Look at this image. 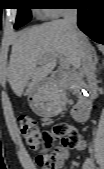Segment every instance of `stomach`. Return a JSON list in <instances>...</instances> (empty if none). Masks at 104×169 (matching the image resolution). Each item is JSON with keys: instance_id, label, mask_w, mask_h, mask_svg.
Wrapping results in <instances>:
<instances>
[{"instance_id": "0dacf381", "label": "stomach", "mask_w": 104, "mask_h": 169, "mask_svg": "<svg viewBox=\"0 0 104 169\" xmlns=\"http://www.w3.org/2000/svg\"><path fill=\"white\" fill-rule=\"evenodd\" d=\"M28 101L31 109L44 117L59 114L66 103L63 90L50 81L39 83L29 95Z\"/></svg>"}]
</instances>
